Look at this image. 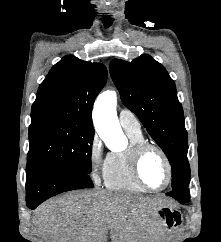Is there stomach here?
<instances>
[{"mask_svg": "<svg viewBox=\"0 0 221 242\" xmlns=\"http://www.w3.org/2000/svg\"><path fill=\"white\" fill-rule=\"evenodd\" d=\"M165 209L171 210V207L168 206V205L158 207L157 210H156L157 216L161 218V214L165 215L164 212H163V210H165Z\"/></svg>", "mask_w": 221, "mask_h": 242, "instance_id": "stomach-1", "label": "stomach"}]
</instances>
